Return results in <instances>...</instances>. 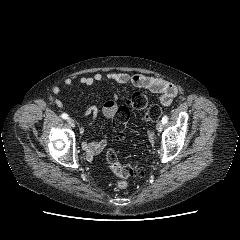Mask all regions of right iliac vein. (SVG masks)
Here are the masks:
<instances>
[{
  "instance_id": "1",
  "label": "right iliac vein",
  "mask_w": 240,
  "mask_h": 240,
  "mask_svg": "<svg viewBox=\"0 0 240 240\" xmlns=\"http://www.w3.org/2000/svg\"><path fill=\"white\" fill-rule=\"evenodd\" d=\"M67 122H68V124H69L71 127H73V128L76 126L75 121H74L72 118H69V119L67 120Z\"/></svg>"
}]
</instances>
